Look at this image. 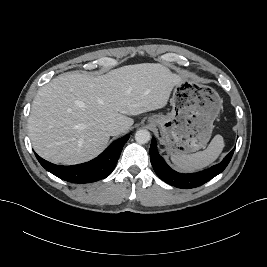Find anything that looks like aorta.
<instances>
[{"instance_id":"762f6f07","label":"aorta","mask_w":267,"mask_h":267,"mask_svg":"<svg viewBox=\"0 0 267 267\" xmlns=\"http://www.w3.org/2000/svg\"><path fill=\"white\" fill-rule=\"evenodd\" d=\"M151 138V134L148 130L146 129H139L136 133H135V140L136 142L140 143V144H145L148 143L149 140Z\"/></svg>"}]
</instances>
